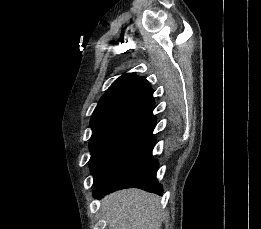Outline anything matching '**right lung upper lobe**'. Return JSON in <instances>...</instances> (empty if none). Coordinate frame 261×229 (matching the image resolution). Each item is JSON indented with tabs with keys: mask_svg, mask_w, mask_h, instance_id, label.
I'll return each instance as SVG.
<instances>
[{
	"mask_svg": "<svg viewBox=\"0 0 261 229\" xmlns=\"http://www.w3.org/2000/svg\"><path fill=\"white\" fill-rule=\"evenodd\" d=\"M153 90L141 76L124 74L102 96L91 117L90 147L127 149L133 135L140 130H153Z\"/></svg>",
	"mask_w": 261,
	"mask_h": 229,
	"instance_id": "right-lung-upper-lobe-1",
	"label": "right lung upper lobe"
}]
</instances>
